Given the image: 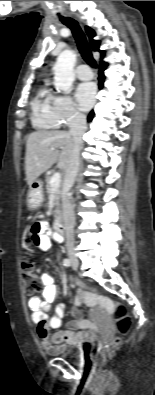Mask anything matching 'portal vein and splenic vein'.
I'll use <instances>...</instances> for the list:
<instances>
[{
  "label": "portal vein and splenic vein",
  "instance_id": "obj_1",
  "mask_svg": "<svg viewBox=\"0 0 155 395\" xmlns=\"http://www.w3.org/2000/svg\"><path fill=\"white\" fill-rule=\"evenodd\" d=\"M54 150V149H52ZM60 182H61V175L59 172H56L53 174L50 184L53 190H56L59 186H60Z\"/></svg>",
  "mask_w": 155,
  "mask_h": 395
}]
</instances>
